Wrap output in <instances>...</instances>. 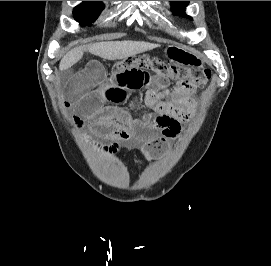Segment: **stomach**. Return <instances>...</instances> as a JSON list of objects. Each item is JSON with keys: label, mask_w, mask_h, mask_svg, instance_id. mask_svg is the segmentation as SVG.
<instances>
[{"label": "stomach", "mask_w": 271, "mask_h": 266, "mask_svg": "<svg viewBox=\"0 0 271 266\" xmlns=\"http://www.w3.org/2000/svg\"><path fill=\"white\" fill-rule=\"evenodd\" d=\"M166 57L174 63L191 65V66H202V60L194 53L187 51L186 49L170 45L164 50Z\"/></svg>", "instance_id": "obj_1"}]
</instances>
